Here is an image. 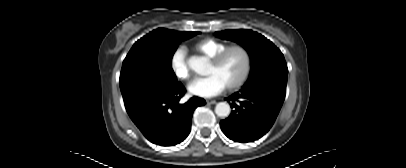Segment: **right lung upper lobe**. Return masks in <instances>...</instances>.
Returning <instances> with one entry per match:
<instances>
[{"mask_svg": "<svg viewBox=\"0 0 406 168\" xmlns=\"http://www.w3.org/2000/svg\"><path fill=\"white\" fill-rule=\"evenodd\" d=\"M158 32H168V33H172V34L179 35V36H183V35H186L189 33V32H177V31H173V30L159 28V29L153 30L149 34H154V33H158Z\"/></svg>", "mask_w": 406, "mask_h": 168, "instance_id": "cb5924a9", "label": "right lung upper lobe"}]
</instances>
